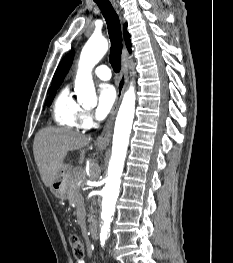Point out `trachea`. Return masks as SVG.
Instances as JSON below:
<instances>
[{
  "mask_svg": "<svg viewBox=\"0 0 233 263\" xmlns=\"http://www.w3.org/2000/svg\"><path fill=\"white\" fill-rule=\"evenodd\" d=\"M105 18L111 41L109 60L115 72L121 69L122 33L119 17L108 0H94Z\"/></svg>",
  "mask_w": 233,
  "mask_h": 263,
  "instance_id": "trachea-1",
  "label": "trachea"
}]
</instances>
